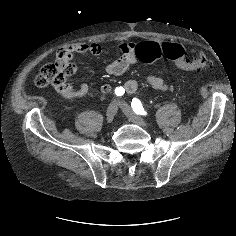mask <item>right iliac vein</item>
<instances>
[{"mask_svg": "<svg viewBox=\"0 0 236 236\" xmlns=\"http://www.w3.org/2000/svg\"><path fill=\"white\" fill-rule=\"evenodd\" d=\"M118 106L116 102L110 103V105L107 108L106 112V119L108 123H112L114 120V116L117 113Z\"/></svg>", "mask_w": 236, "mask_h": 236, "instance_id": "obj_1", "label": "right iliac vein"}]
</instances>
